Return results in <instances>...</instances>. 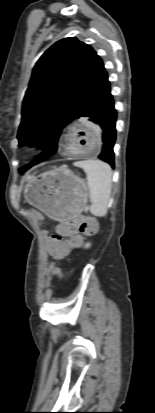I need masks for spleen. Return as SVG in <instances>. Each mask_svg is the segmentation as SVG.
I'll return each mask as SVG.
<instances>
[{"instance_id":"obj_1","label":"spleen","mask_w":155,"mask_h":413,"mask_svg":"<svg viewBox=\"0 0 155 413\" xmlns=\"http://www.w3.org/2000/svg\"><path fill=\"white\" fill-rule=\"evenodd\" d=\"M74 165L82 168L87 175L91 214L104 217L108 211L112 188L111 167L107 163L96 159L75 162Z\"/></svg>"}]
</instances>
